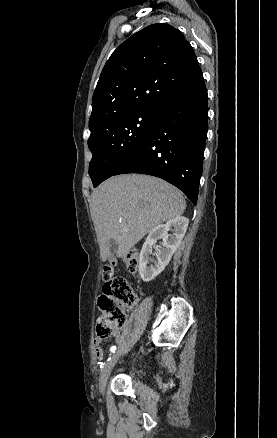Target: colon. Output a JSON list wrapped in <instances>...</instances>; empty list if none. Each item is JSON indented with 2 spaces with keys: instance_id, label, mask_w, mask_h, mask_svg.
<instances>
[{
  "instance_id": "obj_1",
  "label": "colon",
  "mask_w": 277,
  "mask_h": 438,
  "mask_svg": "<svg viewBox=\"0 0 277 438\" xmlns=\"http://www.w3.org/2000/svg\"><path fill=\"white\" fill-rule=\"evenodd\" d=\"M140 250L131 248L129 252L120 255L121 260L126 261L128 271L135 272L138 269V257ZM116 258H110L108 264L102 267V278L106 284L99 285V297L97 304L101 320L97 323L94 331V340L100 342L112 332L123 327L126 322L125 310L135 301V295L129 283L122 277L117 276L114 268Z\"/></svg>"
}]
</instances>
